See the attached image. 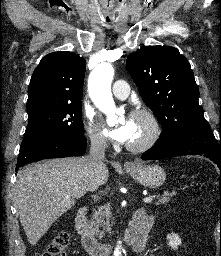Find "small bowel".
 Listing matches in <instances>:
<instances>
[{
    "label": "small bowel",
    "instance_id": "c3829d8e",
    "mask_svg": "<svg viewBox=\"0 0 221 256\" xmlns=\"http://www.w3.org/2000/svg\"><path fill=\"white\" fill-rule=\"evenodd\" d=\"M153 221H154L153 217H148L147 222H146L147 231L152 226ZM147 231H146V233H147ZM145 237H146V234L144 235V237L141 240H139L138 242H136L134 244V248L139 253V256H154L152 254H148L145 251Z\"/></svg>",
    "mask_w": 221,
    "mask_h": 256
}]
</instances>
